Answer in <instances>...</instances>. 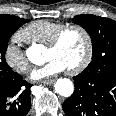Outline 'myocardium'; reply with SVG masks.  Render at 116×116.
Masks as SVG:
<instances>
[{"mask_svg": "<svg viewBox=\"0 0 116 116\" xmlns=\"http://www.w3.org/2000/svg\"><path fill=\"white\" fill-rule=\"evenodd\" d=\"M71 29H75V30H78L79 32H81L85 38V43H86V50H85V54H84L82 60L75 66L67 69V72L69 74H77V73L81 72L82 70H84L89 65V63L91 62L92 56H93V48H94L93 47V39H92L90 32L84 26L79 25V24H72V23L63 25L61 28H59L54 33L53 37L46 45V48L47 49H55L56 47H58L63 35L68 30H71Z\"/></svg>", "mask_w": 116, "mask_h": 116, "instance_id": "f54148a6", "label": "myocardium"}]
</instances>
